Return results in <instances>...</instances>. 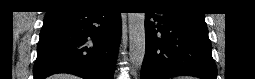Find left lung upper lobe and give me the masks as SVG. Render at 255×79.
<instances>
[{
  "instance_id": "left-lung-upper-lobe-1",
  "label": "left lung upper lobe",
  "mask_w": 255,
  "mask_h": 79,
  "mask_svg": "<svg viewBox=\"0 0 255 79\" xmlns=\"http://www.w3.org/2000/svg\"><path fill=\"white\" fill-rule=\"evenodd\" d=\"M160 2L165 4V5L171 6V7H179L177 5V3H179V2H177L175 0H163V1H160Z\"/></svg>"
}]
</instances>
